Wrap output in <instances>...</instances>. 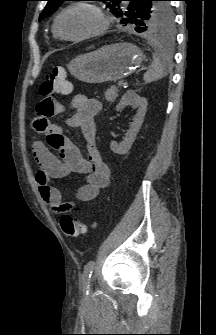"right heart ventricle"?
<instances>
[{"label":"right heart ventricle","mask_w":216,"mask_h":335,"mask_svg":"<svg viewBox=\"0 0 216 335\" xmlns=\"http://www.w3.org/2000/svg\"><path fill=\"white\" fill-rule=\"evenodd\" d=\"M53 34H54V37H55V38H59V37L57 36V34L54 32V30H53Z\"/></svg>","instance_id":"obj_1"}]
</instances>
